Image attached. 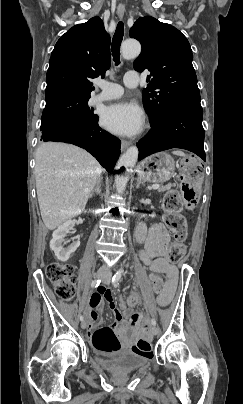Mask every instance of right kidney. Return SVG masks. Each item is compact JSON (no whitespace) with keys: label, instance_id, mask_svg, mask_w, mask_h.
<instances>
[{"label":"right kidney","instance_id":"obj_1","mask_svg":"<svg viewBox=\"0 0 243 404\" xmlns=\"http://www.w3.org/2000/svg\"><path fill=\"white\" fill-rule=\"evenodd\" d=\"M74 226L75 222H73V220H68V222H64L62 226H58L57 230H55V232L52 234L50 248L53 250L57 260H60V262H67L71 254L76 252L77 248L80 246V242L77 240V242H73V244H70V246L64 248V246H66V244H64V238L67 236V234H70V230H73Z\"/></svg>","mask_w":243,"mask_h":404}]
</instances>
